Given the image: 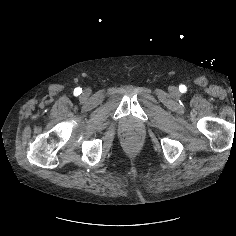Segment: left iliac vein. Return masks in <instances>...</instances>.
Here are the masks:
<instances>
[{
    "instance_id": "4c4485c4",
    "label": "left iliac vein",
    "mask_w": 236,
    "mask_h": 236,
    "mask_svg": "<svg viewBox=\"0 0 236 236\" xmlns=\"http://www.w3.org/2000/svg\"><path fill=\"white\" fill-rule=\"evenodd\" d=\"M171 91H172V93H176V92H177V89H176L175 87H172V88H171Z\"/></svg>"
}]
</instances>
